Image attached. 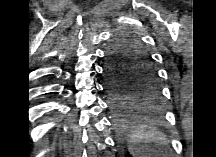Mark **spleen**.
Masks as SVG:
<instances>
[{
    "instance_id": "1",
    "label": "spleen",
    "mask_w": 216,
    "mask_h": 157,
    "mask_svg": "<svg viewBox=\"0 0 216 157\" xmlns=\"http://www.w3.org/2000/svg\"><path fill=\"white\" fill-rule=\"evenodd\" d=\"M128 150L133 157L159 155L160 147H167V138L157 127L137 121L133 130L126 135Z\"/></svg>"
}]
</instances>
